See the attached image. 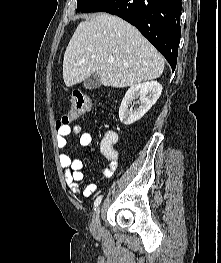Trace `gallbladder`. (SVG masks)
Returning a JSON list of instances; mask_svg holds the SVG:
<instances>
[{
  "mask_svg": "<svg viewBox=\"0 0 221 263\" xmlns=\"http://www.w3.org/2000/svg\"><path fill=\"white\" fill-rule=\"evenodd\" d=\"M101 81L98 73L91 74L84 82L85 89H97L100 87Z\"/></svg>",
  "mask_w": 221,
  "mask_h": 263,
  "instance_id": "bac80fb5",
  "label": "gallbladder"
}]
</instances>
